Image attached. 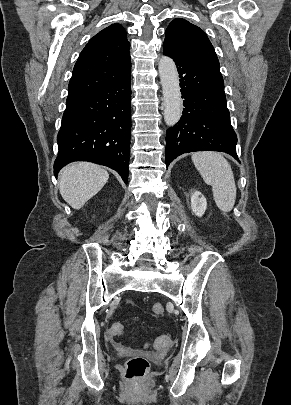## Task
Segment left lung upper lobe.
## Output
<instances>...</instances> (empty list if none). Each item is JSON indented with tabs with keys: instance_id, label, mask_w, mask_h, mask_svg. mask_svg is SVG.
Instances as JSON below:
<instances>
[{
	"instance_id": "5c2ea615",
	"label": "left lung upper lobe",
	"mask_w": 291,
	"mask_h": 405,
	"mask_svg": "<svg viewBox=\"0 0 291 405\" xmlns=\"http://www.w3.org/2000/svg\"><path fill=\"white\" fill-rule=\"evenodd\" d=\"M164 44L183 53L217 60V55L205 32L190 22L174 19L165 31Z\"/></svg>"
}]
</instances>
